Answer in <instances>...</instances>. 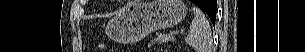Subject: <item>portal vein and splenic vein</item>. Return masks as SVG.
Here are the masks:
<instances>
[{
	"label": "portal vein and splenic vein",
	"instance_id": "obj_1",
	"mask_svg": "<svg viewBox=\"0 0 305 52\" xmlns=\"http://www.w3.org/2000/svg\"><path fill=\"white\" fill-rule=\"evenodd\" d=\"M173 34H174V35H175V34H179V31L173 32Z\"/></svg>",
	"mask_w": 305,
	"mask_h": 52
}]
</instances>
